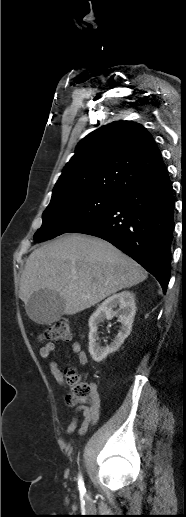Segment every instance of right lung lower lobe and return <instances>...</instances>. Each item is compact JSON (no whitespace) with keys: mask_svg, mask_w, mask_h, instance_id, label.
<instances>
[{"mask_svg":"<svg viewBox=\"0 0 186 517\" xmlns=\"http://www.w3.org/2000/svg\"><path fill=\"white\" fill-rule=\"evenodd\" d=\"M174 198L168 174L123 193L107 210L69 232L100 237L129 255L167 290Z\"/></svg>","mask_w":186,"mask_h":517,"instance_id":"98d812e1","label":"right lung lower lobe"}]
</instances>
